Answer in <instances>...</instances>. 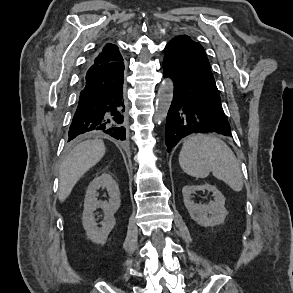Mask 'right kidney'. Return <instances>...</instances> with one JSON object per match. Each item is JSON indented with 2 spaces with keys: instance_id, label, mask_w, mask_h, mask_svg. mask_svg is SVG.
Segmentation results:
<instances>
[{
  "instance_id": "obj_1",
  "label": "right kidney",
  "mask_w": 293,
  "mask_h": 293,
  "mask_svg": "<svg viewBox=\"0 0 293 293\" xmlns=\"http://www.w3.org/2000/svg\"><path fill=\"white\" fill-rule=\"evenodd\" d=\"M106 188L109 200L100 201L97 199V191ZM120 191L118 184L110 174L104 173L93 179L88 186L84 200L82 224L88 238L97 244H105L109 233L116 224L114 214L120 207ZM101 208L104 213V220L99 228L96 223L94 211Z\"/></svg>"
}]
</instances>
